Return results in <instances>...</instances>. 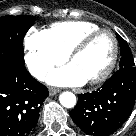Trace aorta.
Wrapping results in <instances>:
<instances>
[{"label": "aorta", "mask_w": 136, "mask_h": 136, "mask_svg": "<svg viewBox=\"0 0 136 136\" xmlns=\"http://www.w3.org/2000/svg\"><path fill=\"white\" fill-rule=\"evenodd\" d=\"M59 101L63 107L72 108L76 104V97L72 92H63L60 97Z\"/></svg>", "instance_id": "1"}]
</instances>
